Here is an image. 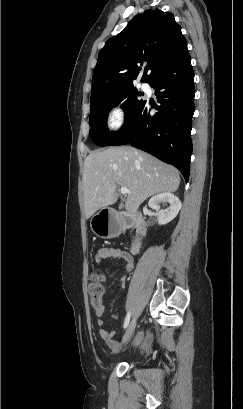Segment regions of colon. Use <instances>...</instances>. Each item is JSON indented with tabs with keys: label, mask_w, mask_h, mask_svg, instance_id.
Wrapping results in <instances>:
<instances>
[{
	"label": "colon",
	"mask_w": 243,
	"mask_h": 409,
	"mask_svg": "<svg viewBox=\"0 0 243 409\" xmlns=\"http://www.w3.org/2000/svg\"><path fill=\"white\" fill-rule=\"evenodd\" d=\"M89 294L95 308L102 306L103 283L100 275L94 274L88 285Z\"/></svg>",
	"instance_id": "obj_1"
}]
</instances>
